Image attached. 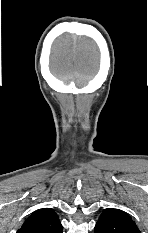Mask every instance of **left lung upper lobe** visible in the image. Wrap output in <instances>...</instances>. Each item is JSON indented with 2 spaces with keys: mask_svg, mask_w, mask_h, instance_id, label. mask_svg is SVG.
Wrapping results in <instances>:
<instances>
[{
  "mask_svg": "<svg viewBox=\"0 0 148 233\" xmlns=\"http://www.w3.org/2000/svg\"><path fill=\"white\" fill-rule=\"evenodd\" d=\"M94 233H140L131 217L119 209H105L98 222Z\"/></svg>",
  "mask_w": 148,
  "mask_h": 233,
  "instance_id": "1",
  "label": "left lung upper lobe"
}]
</instances>
